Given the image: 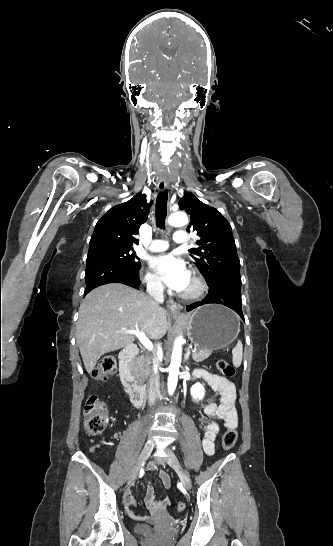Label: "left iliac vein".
I'll return each instance as SVG.
<instances>
[{
	"label": "left iliac vein",
	"mask_w": 333,
	"mask_h": 546,
	"mask_svg": "<svg viewBox=\"0 0 333 546\" xmlns=\"http://www.w3.org/2000/svg\"><path fill=\"white\" fill-rule=\"evenodd\" d=\"M166 458H167L168 464L175 470V472L178 474V476L182 480L183 485L187 489H190L192 487L191 479L189 475L187 474V472L182 468L177 457L175 456V454L170 448L166 450Z\"/></svg>",
	"instance_id": "obj_1"
}]
</instances>
